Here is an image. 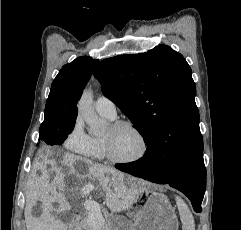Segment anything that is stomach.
I'll return each instance as SVG.
<instances>
[{
	"label": "stomach",
	"mask_w": 241,
	"mask_h": 230,
	"mask_svg": "<svg viewBox=\"0 0 241 230\" xmlns=\"http://www.w3.org/2000/svg\"><path fill=\"white\" fill-rule=\"evenodd\" d=\"M127 212L133 223L114 217L110 223L113 230H178L177 216L169 199L148 183H141L139 194Z\"/></svg>",
	"instance_id": "stomach-1"
}]
</instances>
